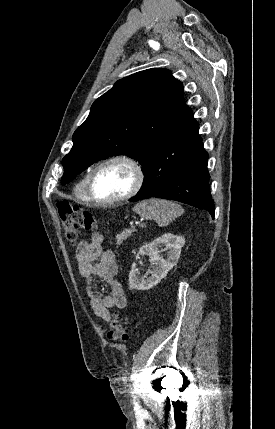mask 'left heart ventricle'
Here are the masks:
<instances>
[{
  "label": "left heart ventricle",
  "mask_w": 275,
  "mask_h": 429,
  "mask_svg": "<svg viewBox=\"0 0 275 429\" xmlns=\"http://www.w3.org/2000/svg\"><path fill=\"white\" fill-rule=\"evenodd\" d=\"M133 182L131 169L122 163H113L100 169L92 184L97 199L109 200L125 194Z\"/></svg>",
  "instance_id": "obj_1"
}]
</instances>
